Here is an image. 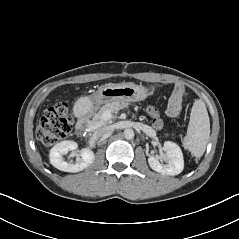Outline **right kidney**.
Instances as JSON below:
<instances>
[{"mask_svg": "<svg viewBox=\"0 0 239 239\" xmlns=\"http://www.w3.org/2000/svg\"><path fill=\"white\" fill-rule=\"evenodd\" d=\"M77 147V143L73 141H62L56 144L50 150V163L55 168L64 172L75 173L86 169L95 159L94 153L88 148L78 151L81 158H78L75 163L67 162L63 159L64 154L76 150Z\"/></svg>", "mask_w": 239, "mask_h": 239, "instance_id": "1", "label": "right kidney"}]
</instances>
